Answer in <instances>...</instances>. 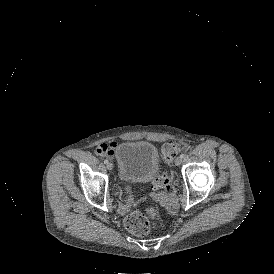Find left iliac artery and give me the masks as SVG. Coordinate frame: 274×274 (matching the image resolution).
Here are the masks:
<instances>
[{
    "label": "left iliac artery",
    "instance_id": "44dca946",
    "mask_svg": "<svg viewBox=\"0 0 274 274\" xmlns=\"http://www.w3.org/2000/svg\"><path fill=\"white\" fill-rule=\"evenodd\" d=\"M180 158H181V159L185 158V154L182 153V154L180 155Z\"/></svg>",
    "mask_w": 274,
    "mask_h": 274
}]
</instances>
